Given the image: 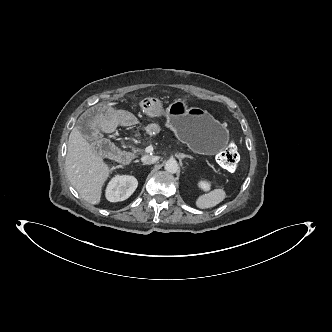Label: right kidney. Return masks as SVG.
<instances>
[{"label":"right kidney","instance_id":"obj_1","mask_svg":"<svg viewBox=\"0 0 332 332\" xmlns=\"http://www.w3.org/2000/svg\"><path fill=\"white\" fill-rule=\"evenodd\" d=\"M138 186V181L130 175H116L109 182L106 198L110 202L123 201L129 198Z\"/></svg>","mask_w":332,"mask_h":332}]
</instances>
